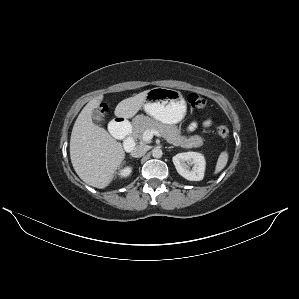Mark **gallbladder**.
Segmentation results:
<instances>
[{"mask_svg":"<svg viewBox=\"0 0 299 299\" xmlns=\"http://www.w3.org/2000/svg\"><path fill=\"white\" fill-rule=\"evenodd\" d=\"M94 119L97 121V122H102L104 120V116L102 113H99V112H96L94 114Z\"/></svg>","mask_w":299,"mask_h":299,"instance_id":"obj_1","label":"gallbladder"}]
</instances>
